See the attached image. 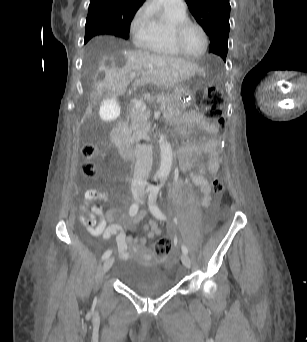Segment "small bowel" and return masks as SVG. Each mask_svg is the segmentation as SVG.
<instances>
[{
    "instance_id": "1",
    "label": "small bowel",
    "mask_w": 307,
    "mask_h": 342,
    "mask_svg": "<svg viewBox=\"0 0 307 342\" xmlns=\"http://www.w3.org/2000/svg\"><path fill=\"white\" fill-rule=\"evenodd\" d=\"M196 130L200 131L202 136L198 141L190 143L179 150V166L181 170L198 167L197 172L191 173V180L201 191L202 207L207 208L211 203V188L205 176L207 173H215L220 163L218 127L201 114L194 113L190 116L186 133L190 136ZM204 155L208 157L206 165L200 163ZM97 200L107 202L108 196L95 188L86 190L82 205L83 214L80 216V220L93 236L110 239L113 235H116L117 252L120 258L127 259L132 253L143 251L147 239H153L161 234L158 223L151 220L148 225L144 226L145 237L127 236L123 227L115 222V210L110 209L104 212L102 205L95 203ZM143 217L144 213L140 212L132 222L127 224V228L134 229L137 222Z\"/></svg>"
}]
</instances>
